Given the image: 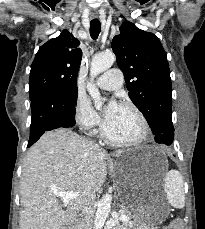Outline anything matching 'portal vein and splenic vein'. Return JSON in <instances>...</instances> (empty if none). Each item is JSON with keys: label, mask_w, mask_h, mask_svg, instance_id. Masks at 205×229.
<instances>
[{"label": "portal vein and splenic vein", "mask_w": 205, "mask_h": 229, "mask_svg": "<svg viewBox=\"0 0 205 229\" xmlns=\"http://www.w3.org/2000/svg\"><path fill=\"white\" fill-rule=\"evenodd\" d=\"M53 193L61 198V200H63L64 203H67L69 202L70 200H73V199H76L79 194L77 192H60V191H57V190H54ZM121 219H128L127 216H121Z\"/></svg>", "instance_id": "portal-vein-and-splenic-vein-1"}]
</instances>
